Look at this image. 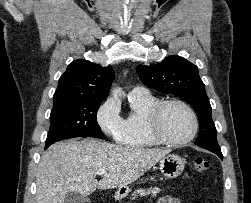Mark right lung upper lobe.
<instances>
[{
  "label": "right lung upper lobe",
  "mask_w": 251,
  "mask_h": 203,
  "mask_svg": "<svg viewBox=\"0 0 251 203\" xmlns=\"http://www.w3.org/2000/svg\"><path fill=\"white\" fill-rule=\"evenodd\" d=\"M114 72L83 59L73 61L60 77L54 93V106L79 100H103L108 96Z\"/></svg>",
  "instance_id": "cb5924a9"
}]
</instances>
